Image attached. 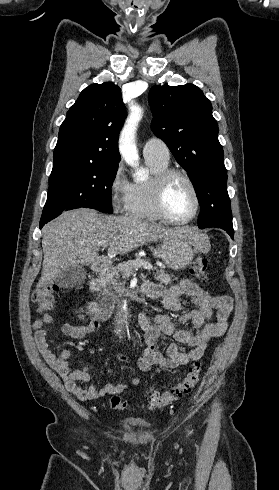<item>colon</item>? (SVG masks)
Returning <instances> with one entry per match:
<instances>
[{
  "mask_svg": "<svg viewBox=\"0 0 279 490\" xmlns=\"http://www.w3.org/2000/svg\"><path fill=\"white\" fill-rule=\"evenodd\" d=\"M191 270L197 279L202 282H207L209 279L207 257L202 255L197 256L191 264ZM57 291V285L46 284L41 290L33 294V301L38 306L41 314L51 312L54 309L55 293ZM201 371V362L195 361L182 380L162 392L155 393L148 403V408L155 410L166 407L191 392L199 383ZM110 407L116 411H124L128 408V404L122 401L117 395H112Z\"/></svg>",
  "mask_w": 279,
  "mask_h": 490,
  "instance_id": "5ec220e1",
  "label": "colon"
}]
</instances>
